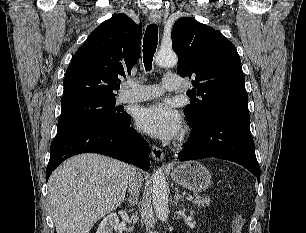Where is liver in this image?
Here are the masks:
<instances>
[{"instance_id": "obj_1", "label": "liver", "mask_w": 306, "mask_h": 233, "mask_svg": "<svg viewBox=\"0 0 306 233\" xmlns=\"http://www.w3.org/2000/svg\"><path fill=\"white\" fill-rule=\"evenodd\" d=\"M133 167L99 154L66 160L48 181V202L57 233H89L124 200Z\"/></svg>"}]
</instances>
